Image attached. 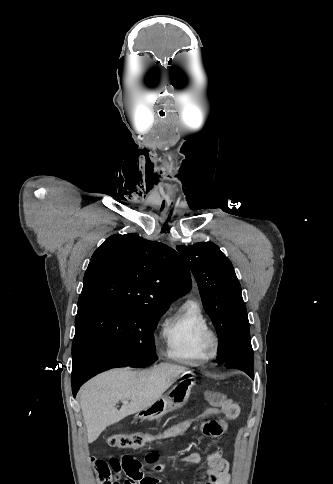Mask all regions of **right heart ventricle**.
<instances>
[{"label": "right heart ventricle", "instance_id": "obj_1", "mask_svg": "<svg viewBox=\"0 0 333 484\" xmlns=\"http://www.w3.org/2000/svg\"><path fill=\"white\" fill-rule=\"evenodd\" d=\"M208 328L201 305L195 300L185 301L162 325L166 356L189 365L204 363L208 357L201 348V338Z\"/></svg>", "mask_w": 333, "mask_h": 484}]
</instances>
